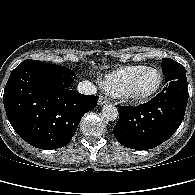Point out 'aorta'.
<instances>
[{"label":"aorta","instance_id":"obj_1","mask_svg":"<svg viewBox=\"0 0 195 195\" xmlns=\"http://www.w3.org/2000/svg\"><path fill=\"white\" fill-rule=\"evenodd\" d=\"M102 115L108 121H114L118 118L119 112L116 106L112 104H106L102 108Z\"/></svg>","mask_w":195,"mask_h":195}]
</instances>
